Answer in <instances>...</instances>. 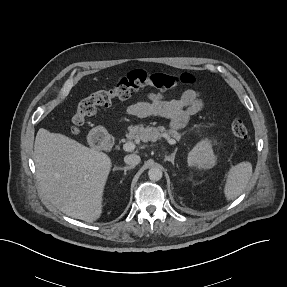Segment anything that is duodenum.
Segmentation results:
<instances>
[{
    "label": "duodenum",
    "mask_w": 287,
    "mask_h": 287,
    "mask_svg": "<svg viewBox=\"0 0 287 287\" xmlns=\"http://www.w3.org/2000/svg\"><path fill=\"white\" fill-rule=\"evenodd\" d=\"M90 143L93 147L112 149L115 145L114 138L101 129H97L90 134Z\"/></svg>",
    "instance_id": "1"
}]
</instances>
